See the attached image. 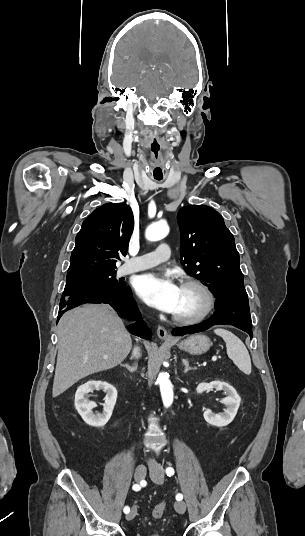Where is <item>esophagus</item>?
I'll return each instance as SVG.
<instances>
[{
  "label": "esophagus",
  "mask_w": 305,
  "mask_h": 536,
  "mask_svg": "<svg viewBox=\"0 0 305 536\" xmlns=\"http://www.w3.org/2000/svg\"><path fill=\"white\" fill-rule=\"evenodd\" d=\"M157 335L159 336L160 339L162 340H165V341H173V338L168 335L166 329L163 327V326H158L157 328Z\"/></svg>",
  "instance_id": "34e87169"
}]
</instances>
